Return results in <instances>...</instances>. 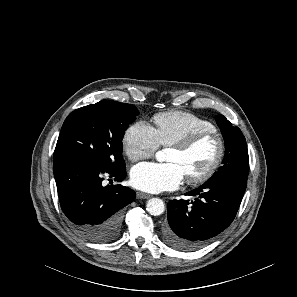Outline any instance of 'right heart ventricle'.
I'll list each match as a JSON object with an SVG mask.
<instances>
[{
	"instance_id": "1",
	"label": "right heart ventricle",
	"mask_w": 297,
	"mask_h": 297,
	"mask_svg": "<svg viewBox=\"0 0 297 297\" xmlns=\"http://www.w3.org/2000/svg\"><path fill=\"white\" fill-rule=\"evenodd\" d=\"M154 124L159 145L162 146H169L197 131L215 129L208 120L183 111L158 113L154 116Z\"/></svg>"
}]
</instances>
